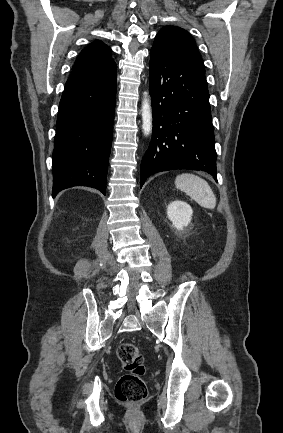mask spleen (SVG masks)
Segmentation results:
<instances>
[{"label":"spleen","instance_id":"obj_1","mask_svg":"<svg viewBox=\"0 0 283 433\" xmlns=\"http://www.w3.org/2000/svg\"><path fill=\"white\" fill-rule=\"evenodd\" d=\"M176 188H180L194 198L204 208L216 206L215 194L208 182L196 174H178L175 178Z\"/></svg>","mask_w":283,"mask_h":433}]
</instances>
